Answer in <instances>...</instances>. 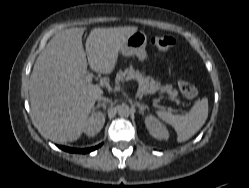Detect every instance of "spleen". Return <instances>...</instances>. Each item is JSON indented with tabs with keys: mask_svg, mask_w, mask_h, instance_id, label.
<instances>
[{
	"mask_svg": "<svg viewBox=\"0 0 249 188\" xmlns=\"http://www.w3.org/2000/svg\"><path fill=\"white\" fill-rule=\"evenodd\" d=\"M157 116L174 127L177 141L184 142L194 136L204 125L208 116V99L203 98L194 104L185 115H172L165 110L157 111Z\"/></svg>",
	"mask_w": 249,
	"mask_h": 188,
	"instance_id": "3e777b00",
	"label": "spleen"
}]
</instances>
